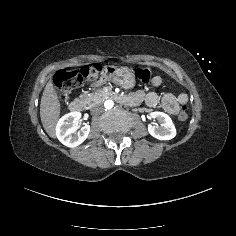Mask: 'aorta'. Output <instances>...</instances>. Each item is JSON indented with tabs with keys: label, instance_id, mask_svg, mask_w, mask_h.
Returning <instances> with one entry per match:
<instances>
[{
	"label": "aorta",
	"instance_id": "762f6f07",
	"mask_svg": "<svg viewBox=\"0 0 236 236\" xmlns=\"http://www.w3.org/2000/svg\"><path fill=\"white\" fill-rule=\"evenodd\" d=\"M113 105H114V103H113V101H111V100H106L105 103H104V107H105L106 109H112V108H113Z\"/></svg>",
	"mask_w": 236,
	"mask_h": 236
}]
</instances>
